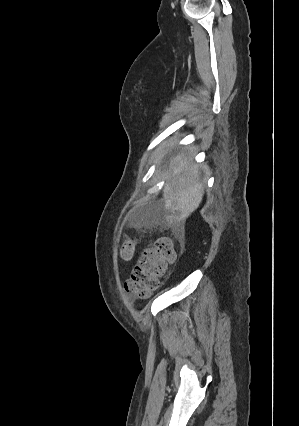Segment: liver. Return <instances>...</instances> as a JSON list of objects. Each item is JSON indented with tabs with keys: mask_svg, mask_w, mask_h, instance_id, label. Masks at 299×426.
<instances>
[{
	"mask_svg": "<svg viewBox=\"0 0 299 426\" xmlns=\"http://www.w3.org/2000/svg\"><path fill=\"white\" fill-rule=\"evenodd\" d=\"M192 159L193 156L185 149L171 158V173L162 197L166 226L184 224L202 202L205 186Z\"/></svg>",
	"mask_w": 299,
	"mask_h": 426,
	"instance_id": "liver-1",
	"label": "liver"
}]
</instances>
